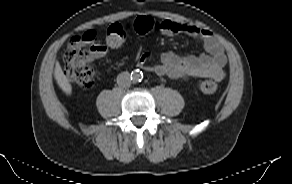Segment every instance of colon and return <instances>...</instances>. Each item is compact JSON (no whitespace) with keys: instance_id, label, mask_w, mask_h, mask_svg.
I'll return each mask as SVG.
<instances>
[{"instance_id":"5ec220e1","label":"colon","mask_w":292,"mask_h":184,"mask_svg":"<svg viewBox=\"0 0 292 184\" xmlns=\"http://www.w3.org/2000/svg\"><path fill=\"white\" fill-rule=\"evenodd\" d=\"M139 34H148L156 31V25L150 18H140L134 25ZM129 26L119 23L112 24L106 33L105 45L98 42L94 31H88L71 39L65 50L64 71L70 81L83 88H91L95 84V71L89 65L90 61L100 56L107 47L121 46L127 37ZM218 84L212 80L199 83V90L205 94L216 92Z\"/></svg>"}]
</instances>
